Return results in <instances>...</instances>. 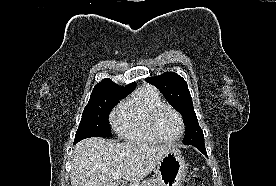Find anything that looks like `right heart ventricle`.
I'll return each instance as SVG.
<instances>
[{
    "mask_svg": "<svg viewBox=\"0 0 276 186\" xmlns=\"http://www.w3.org/2000/svg\"><path fill=\"white\" fill-rule=\"evenodd\" d=\"M164 104L157 90L144 87L129 98L120 109L117 118L119 134L127 140L148 144L160 141L152 134L149 121L153 110Z\"/></svg>",
    "mask_w": 276,
    "mask_h": 186,
    "instance_id": "e07e8e85",
    "label": "right heart ventricle"
}]
</instances>
